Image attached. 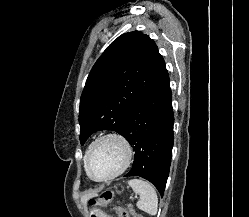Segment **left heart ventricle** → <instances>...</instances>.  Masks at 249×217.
Listing matches in <instances>:
<instances>
[{
    "mask_svg": "<svg viewBox=\"0 0 249 217\" xmlns=\"http://www.w3.org/2000/svg\"><path fill=\"white\" fill-rule=\"evenodd\" d=\"M123 147L115 140L99 143L89 159L91 174L96 178L106 177L115 172L124 161Z\"/></svg>",
    "mask_w": 249,
    "mask_h": 217,
    "instance_id": "1",
    "label": "left heart ventricle"
}]
</instances>
